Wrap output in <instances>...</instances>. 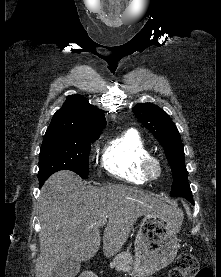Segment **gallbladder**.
Instances as JSON below:
<instances>
[{
  "label": "gallbladder",
  "instance_id": "1",
  "mask_svg": "<svg viewBox=\"0 0 221 277\" xmlns=\"http://www.w3.org/2000/svg\"><path fill=\"white\" fill-rule=\"evenodd\" d=\"M80 262L75 260H64L54 269L50 277H75L80 271Z\"/></svg>",
  "mask_w": 221,
  "mask_h": 277
}]
</instances>
